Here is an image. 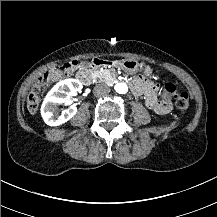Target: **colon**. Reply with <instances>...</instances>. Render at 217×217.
I'll return each instance as SVG.
<instances>
[{
  "label": "colon",
  "mask_w": 217,
  "mask_h": 217,
  "mask_svg": "<svg viewBox=\"0 0 217 217\" xmlns=\"http://www.w3.org/2000/svg\"><path fill=\"white\" fill-rule=\"evenodd\" d=\"M82 67V62L79 59H74L68 63H65L63 66H54L51 70L47 69L40 75L28 96H27V109L30 113H35L38 110V105L40 102V87L43 86L46 81H48L51 76L55 79H61L67 77L75 71L79 70ZM163 93L166 96L175 98V105L180 110H186L189 106L190 100L189 95L185 92H179L177 83L175 82H165L163 84Z\"/></svg>",
  "instance_id": "1"
}]
</instances>
